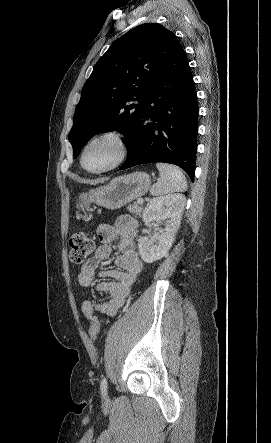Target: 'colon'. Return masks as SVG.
Wrapping results in <instances>:
<instances>
[{
  "mask_svg": "<svg viewBox=\"0 0 271 443\" xmlns=\"http://www.w3.org/2000/svg\"><path fill=\"white\" fill-rule=\"evenodd\" d=\"M70 261L75 265L85 262L88 256L94 251L95 244L92 238L84 233H75L69 240ZM100 332L99 322L96 317L91 318L89 323V334L95 340Z\"/></svg>",
  "mask_w": 271,
  "mask_h": 443,
  "instance_id": "5ec220e1",
  "label": "colon"
}]
</instances>
